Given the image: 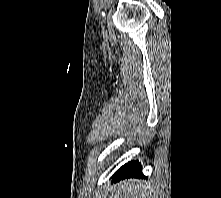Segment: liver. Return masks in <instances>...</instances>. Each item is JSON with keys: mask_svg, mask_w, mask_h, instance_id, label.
I'll return each mask as SVG.
<instances>
[{"mask_svg": "<svg viewBox=\"0 0 221 198\" xmlns=\"http://www.w3.org/2000/svg\"><path fill=\"white\" fill-rule=\"evenodd\" d=\"M157 195L150 183L131 179L124 180L111 191V198H156Z\"/></svg>", "mask_w": 221, "mask_h": 198, "instance_id": "1", "label": "liver"}]
</instances>
